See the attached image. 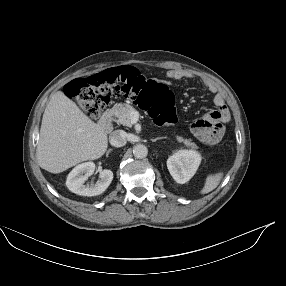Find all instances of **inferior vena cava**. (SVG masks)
Wrapping results in <instances>:
<instances>
[{"mask_svg": "<svg viewBox=\"0 0 286 286\" xmlns=\"http://www.w3.org/2000/svg\"><path fill=\"white\" fill-rule=\"evenodd\" d=\"M126 142V134L122 130H116L110 136V143L114 147H122Z\"/></svg>", "mask_w": 286, "mask_h": 286, "instance_id": "1", "label": "inferior vena cava"}]
</instances>
